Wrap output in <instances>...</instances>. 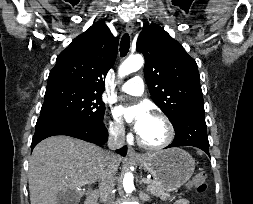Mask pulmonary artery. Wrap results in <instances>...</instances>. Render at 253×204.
<instances>
[{"instance_id":"e3ab8cb5","label":"pulmonary artery","mask_w":253,"mask_h":204,"mask_svg":"<svg viewBox=\"0 0 253 204\" xmlns=\"http://www.w3.org/2000/svg\"><path fill=\"white\" fill-rule=\"evenodd\" d=\"M121 91L127 95L140 96L144 92V81L140 76H134L122 85Z\"/></svg>"}]
</instances>
